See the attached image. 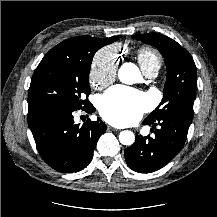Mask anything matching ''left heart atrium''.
Instances as JSON below:
<instances>
[{"label":"left heart atrium","mask_w":217,"mask_h":217,"mask_svg":"<svg viewBox=\"0 0 217 217\" xmlns=\"http://www.w3.org/2000/svg\"><path fill=\"white\" fill-rule=\"evenodd\" d=\"M147 106L146 94L118 85L103 95L99 103V112L110 124L126 126L136 122Z\"/></svg>","instance_id":"39dd6f15"}]
</instances>
